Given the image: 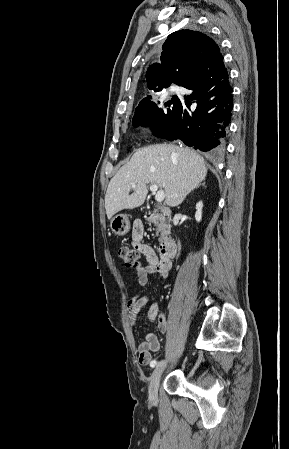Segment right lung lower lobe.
I'll return each mask as SVG.
<instances>
[{
  "label": "right lung lower lobe",
  "instance_id": "98d812e1",
  "mask_svg": "<svg viewBox=\"0 0 289 449\" xmlns=\"http://www.w3.org/2000/svg\"><path fill=\"white\" fill-rule=\"evenodd\" d=\"M192 90L178 99L170 124L158 137L167 140H182L186 145L216 154L223 150L227 127L233 106L232 89L227 69L223 65L209 79L183 85ZM196 109L191 111V105Z\"/></svg>",
  "mask_w": 289,
  "mask_h": 449
}]
</instances>
